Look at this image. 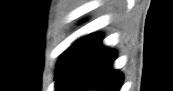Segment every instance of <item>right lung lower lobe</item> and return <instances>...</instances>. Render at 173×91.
<instances>
[{
	"mask_svg": "<svg viewBox=\"0 0 173 91\" xmlns=\"http://www.w3.org/2000/svg\"><path fill=\"white\" fill-rule=\"evenodd\" d=\"M101 39V34L88 35L65 52L56 74V91H119L123 75L112 69L116 52L103 47Z\"/></svg>",
	"mask_w": 173,
	"mask_h": 91,
	"instance_id": "obj_1",
	"label": "right lung lower lobe"
}]
</instances>
